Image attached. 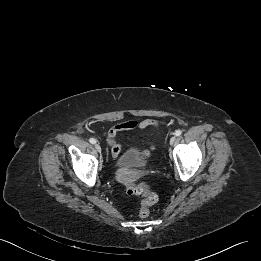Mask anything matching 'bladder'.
I'll return each instance as SVG.
<instances>
[{
	"mask_svg": "<svg viewBox=\"0 0 261 261\" xmlns=\"http://www.w3.org/2000/svg\"><path fill=\"white\" fill-rule=\"evenodd\" d=\"M144 164L138 156L137 149L130 148L118 156L116 165L121 169H133Z\"/></svg>",
	"mask_w": 261,
	"mask_h": 261,
	"instance_id": "obj_1",
	"label": "bladder"
}]
</instances>
